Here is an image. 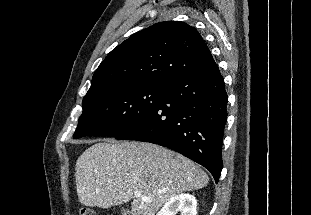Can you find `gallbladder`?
<instances>
[{
	"instance_id": "bac80fb5",
	"label": "gallbladder",
	"mask_w": 311,
	"mask_h": 215,
	"mask_svg": "<svg viewBox=\"0 0 311 215\" xmlns=\"http://www.w3.org/2000/svg\"><path fill=\"white\" fill-rule=\"evenodd\" d=\"M121 213H122V215H130V211L126 208H122Z\"/></svg>"
}]
</instances>
